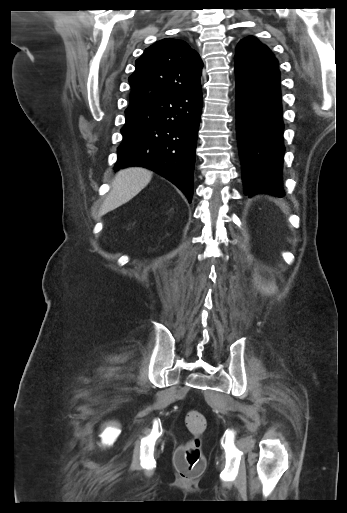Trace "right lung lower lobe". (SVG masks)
I'll return each instance as SVG.
<instances>
[{"mask_svg":"<svg viewBox=\"0 0 347 513\" xmlns=\"http://www.w3.org/2000/svg\"><path fill=\"white\" fill-rule=\"evenodd\" d=\"M201 110V89L129 106L115 170L149 168L174 183L191 202Z\"/></svg>","mask_w":347,"mask_h":513,"instance_id":"obj_1","label":"right lung lower lobe"}]
</instances>
